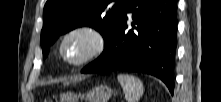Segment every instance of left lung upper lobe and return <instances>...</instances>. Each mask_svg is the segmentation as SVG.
<instances>
[{"mask_svg": "<svg viewBox=\"0 0 221 102\" xmlns=\"http://www.w3.org/2000/svg\"><path fill=\"white\" fill-rule=\"evenodd\" d=\"M126 1L47 0L41 31L43 57L48 55L50 45L59 35L80 26H90L98 30L106 44L116 30Z\"/></svg>", "mask_w": 221, "mask_h": 102, "instance_id": "1", "label": "left lung upper lobe"}]
</instances>
